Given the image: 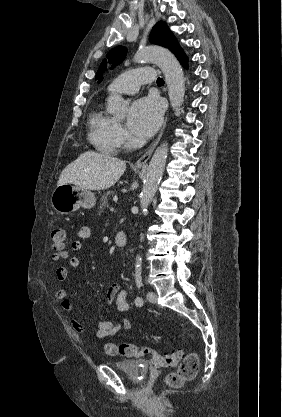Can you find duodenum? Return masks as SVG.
<instances>
[{"label": "duodenum", "instance_id": "410a0bca", "mask_svg": "<svg viewBox=\"0 0 282 417\" xmlns=\"http://www.w3.org/2000/svg\"><path fill=\"white\" fill-rule=\"evenodd\" d=\"M126 242H127V234L123 231L117 232L114 237V243L118 247H124L126 245Z\"/></svg>", "mask_w": 282, "mask_h": 417}]
</instances>
